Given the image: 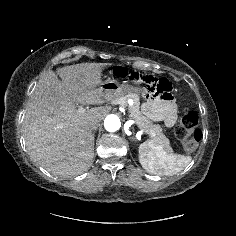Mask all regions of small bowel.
<instances>
[{
	"label": "small bowel",
	"mask_w": 236,
	"mask_h": 236,
	"mask_svg": "<svg viewBox=\"0 0 236 236\" xmlns=\"http://www.w3.org/2000/svg\"><path fill=\"white\" fill-rule=\"evenodd\" d=\"M146 109L151 112L153 118L164 120L168 127H172L176 122L177 112L175 105L166 97L148 101Z\"/></svg>",
	"instance_id": "1"
}]
</instances>
